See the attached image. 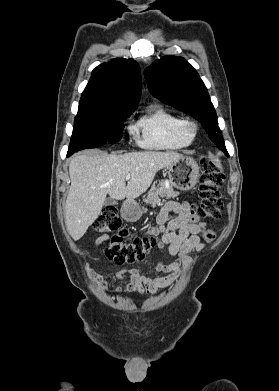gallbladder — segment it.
Listing matches in <instances>:
<instances>
[{
	"label": "gallbladder",
	"instance_id": "gallbladder-1",
	"mask_svg": "<svg viewBox=\"0 0 279 391\" xmlns=\"http://www.w3.org/2000/svg\"><path fill=\"white\" fill-rule=\"evenodd\" d=\"M114 204H116V201L114 199L108 198L105 201V206L114 205Z\"/></svg>",
	"mask_w": 279,
	"mask_h": 391
}]
</instances>
